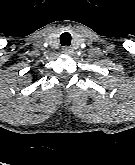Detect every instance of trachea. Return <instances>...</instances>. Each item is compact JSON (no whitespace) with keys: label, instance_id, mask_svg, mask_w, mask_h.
<instances>
[{"label":"trachea","instance_id":"1","mask_svg":"<svg viewBox=\"0 0 135 165\" xmlns=\"http://www.w3.org/2000/svg\"><path fill=\"white\" fill-rule=\"evenodd\" d=\"M71 35L68 32H64L60 36V43L62 46H70L71 44Z\"/></svg>","mask_w":135,"mask_h":165}]
</instances>
